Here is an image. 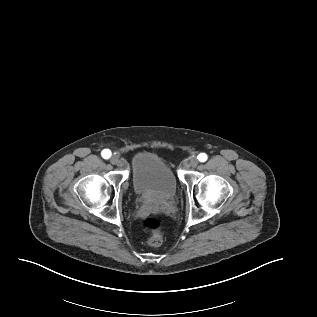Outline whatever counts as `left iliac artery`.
I'll return each mask as SVG.
<instances>
[{
  "mask_svg": "<svg viewBox=\"0 0 317 317\" xmlns=\"http://www.w3.org/2000/svg\"><path fill=\"white\" fill-rule=\"evenodd\" d=\"M197 159H198L200 162H205V161L208 159V156H207V154H205V153H200V154L197 156Z\"/></svg>",
  "mask_w": 317,
  "mask_h": 317,
  "instance_id": "44dca946",
  "label": "left iliac artery"
}]
</instances>
